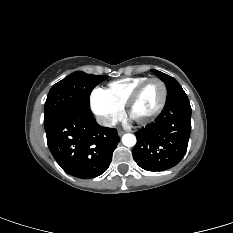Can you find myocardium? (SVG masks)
Here are the masks:
<instances>
[{
    "label": "myocardium",
    "mask_w": 233,
    "mask_h": 233,
    "mask_svg": "<svg viewBox=\"0 0 233 233\" xmlns=\"http://www.w3.org/2000/svg\"><path fill=\"white\" fill-rule=\"evenodd\" d=\"M158 82L161 87H162V98L160 101V104L158 105V107L156 108V110L150 114L149 116L143 118V119H133L131 117V110L132 107L134 106V104L136 103L137 99L139 98L142 90L145 88V86L147 84H149L150 82ZM166 100H167V87L166 84L164 83L163 80H161L160 78L157 77H152V78H148L146 80H144L143 82H141L131 93V95L129 96L126 104H125V109H126V114L132 118L133 120H135L138 124L140 125H146L149 124L150 122H152L153 120H155L160 113L163 111L165 104H166Z\"/></svg>",
    "instance_id": "f54148a6"
}]
</instances>
